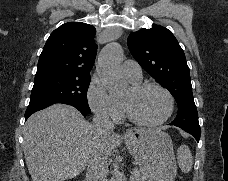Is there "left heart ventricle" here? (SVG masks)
<instances>
[{"instance_id": "left-heart-ventricle-1", "label": "left heart ventricle", "mask_w": 228, "mask_h": 181, "mask_svg": "<svg viewBox=\"0 0 228 181\" xmlns=\"http://www.w3.org/2000/svg\"><path fill=\"white\" fill-rule=\"evenodd\" d=\"M120 77L128 82L127 78L121 75ZM123 97L130 104L133 112L144 120L158 119L166 108V99L156 88L148 87L139 92H133L128 87Z\"/></svg>"}]
</instances>
